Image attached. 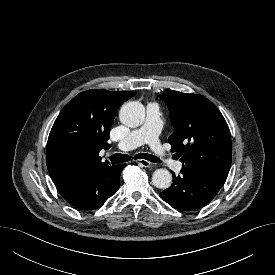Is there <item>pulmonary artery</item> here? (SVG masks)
<instances>
[{
	"label": "pulmonary artery",
	"instance_id": "e3ab8cb5",
	"mask_svg": "<svg viewBox=\"0 0 275 275\" xmlns=\"http://www.w3.org/2000/svg\"><path fill=\"white\" fill-rule=\"evenodd\" d=\"M147 116L144 124L132 130L117 145L121 151L132 150L142 144H148L151 150L158 156L159 160L164 162L174 171L179 172L182 169L181 161L173 160L165 152L159 141V132L161 130V110L157 103L151 102L146 106Z\"/></svg>",
	"mask_w": 275,
	"mask_h": 275
}]
</instances>
